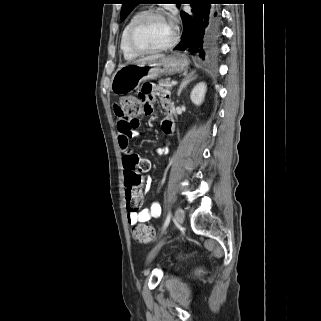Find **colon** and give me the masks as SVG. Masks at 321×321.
Returning a JSON list of instances; mask_svg holds the SVG:
<instances>
[{
  "label": "colon",
  "instance_id": "1",
  "mask_svg": "<svg viewBox=\"0 0 321 321\" xmlns=\"http://www.w3.org/2000/svg\"><path fill=\"white\" fill-rule=\"evenodd\" d=\"M151 104L143 98L134 96L123 97L116 106L115 113L118 117L132 123H139L141 117L150 114ZM148 160L138 155L130 157L125 164V186L127 208L137 211L142 204L144 180L142 174L149 170ZM133 237L140 243H149L155 237V229L150 225H137L132 230Z\"/></svg>",
  "mask_w": 321,
  "mask_h": 321
}]
</instances>
